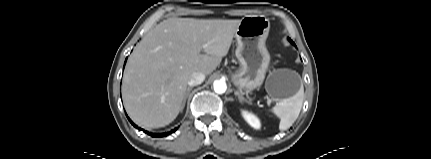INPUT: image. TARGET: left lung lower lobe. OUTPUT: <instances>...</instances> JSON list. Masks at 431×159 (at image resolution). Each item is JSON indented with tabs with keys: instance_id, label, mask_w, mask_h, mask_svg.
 Segmentation results:
<instances>
[{
	"instance_id": "1",
	"label": "left lung lower lobe",
	"mask_w": 431,
	"mask_h": 159,
	"mask_svg": "<svg viewBox=\"0 0 431 159\" xmlns=\"http://www.w3.org/2000/svg\"><path fill=\"white\" fill-rule=\"evenodd\" d=\"M289 41H290L292 44H294V43L291 41V39H289Z\"/></svg>"
}]
</instances>
